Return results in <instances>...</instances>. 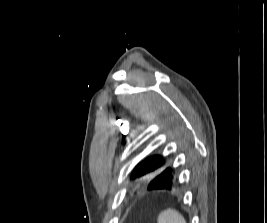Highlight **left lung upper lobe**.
<instances>
[{"instance_id": "left-lung-upper-lobe-1", "label": "left lung upper lobe", "mask_w": 267, "mask_h": 223, "mask_svg": "<svg viewBox=\"0 0 267 223\" xmlns=\"http://www.w3.org/2000/svg\"><path fill=\"white\" fill-rule=\"evenodd\" d=\"M175 171L172 160L166 156L154 155L139 163L131 174V180L145 179L149 182L155 179L156 173H171Z\"/></svg>"}]
</instances>
